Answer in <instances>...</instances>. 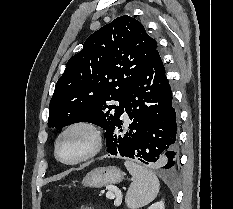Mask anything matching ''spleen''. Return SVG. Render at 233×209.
Returning <instances> with one entry per match:
<instances>
[{"label": "spleen", "instance_id": "3e777b00", "mask_svg": "<svg viewBox=\"0 0 233 209\" xmlns=\"http://www.w3.org/2000/svg\"><path fill=\"white\" fill-rule=\"evenodd\" d=\"M124 165L133 177L125 198L127 207L138 209L152 202L159 192L157 176L134 161L126 160Z\"/></svg>", "mask_w": 233, "mask_h": 209}]
</instances>
